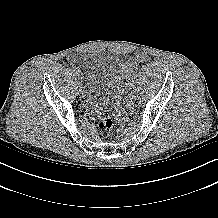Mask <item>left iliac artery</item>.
I'll return each mask as SVG.
<instances>
[{"mask_svg":"<svg viewBox=\"0 0 218 218\" xmlns=\"http://www.w3.org/2000/svg\"><path fill=\"white\" fill-rule=\"evenodd\" d=\"M131 86L126 89V92L131 96L134 92L130 90Z\"/></svg>","mask_w":218,"mask_h":218,"instance_id":"44dca946","label":"left iliac artery"}]
</instances>
